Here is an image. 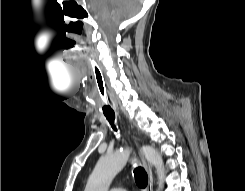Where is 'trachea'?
I'll return each instance as SVG.
<instances>
[{
  "label": "trachea",
  "instance_id": "trachea-1",
  "mask_svg": "<svg viewBox=\"0 0 245 191\" xmlns=\"http://www.w3.org/2000/svg\"><path fill=\"white\" fill-rule=\"evenodd\" d=\"M83 55L87 58L89 63L94 69L95 73V79H96V86L98 93L101 98V104H102V111L108 122L110 123L112 129L117 132V127L115 125V112L113 108L111 107V104L109 102L108 96H107V91H106V85L104 81V77L96 63V61L91 57L87 51H83ZM134 177H135V182L139 187H146L148 183V175L146 171L142 167H136L134 169Z\"/></svg>",
  "mask_w": 245,
  "mask_h": 191
}]
</instances>
